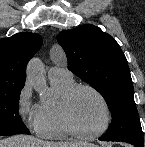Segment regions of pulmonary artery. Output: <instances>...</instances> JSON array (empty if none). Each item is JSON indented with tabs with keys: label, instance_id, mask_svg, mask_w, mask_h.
Listing matches in <instances>:
<instances>
[{
	"label": "pulmonary artery",
	"instance_id": "1",
	"mask_svg": "<svg viewBox=\"0 0 145 147\" xmlns=\"http://www.w3.org/2000/svg\"><path fill=\"white\" fill-rule=\"evenodd\" d=\"M49 78H64L70 79L73 78L72 72L65 66H53L49 69L48 72Z\"/></svg>",
	"mask_w": 145,
	"mask_h": 147
}]
</instances>
